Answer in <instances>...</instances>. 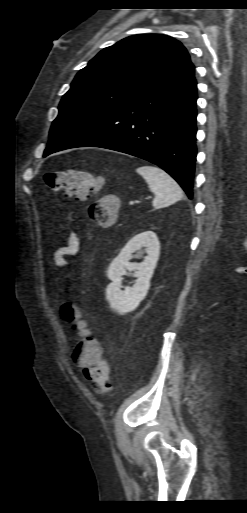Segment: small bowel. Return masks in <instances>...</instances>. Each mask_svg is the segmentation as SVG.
<instances>
[{
  "instance_id": "1",
  "label": "small bowel",
  "mask_w": 247,
  "mask_h": 513,
  "mask_svg": "<svg viewBox=\"0 0 247 513\" xmlns=\"http://www.w3.org/2000/svg\"><path fill=\"white\" fill-rule=\"evenodd\" d=\"M80 250V240L76 233L71 231L66 244L57 247L53 253V262L61 270L68 267V258L75 256ZM71 360V359H70ZM74 364V361L71 360Z\"/></svg>"
}]
</instances>
